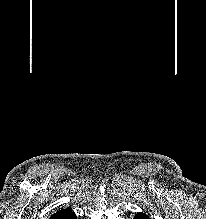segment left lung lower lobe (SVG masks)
Masks as SVG:
<instances>
[{
  "label": "left lung lower lobe",
  "instance_id": "1",
  "mask_svg": "<svg viewBox=\"0 0 206 219\" xmlns=\"http://www.w3.org/2000/svg\"><path fill=\"white\" fill-rule=\"evenodd\" d=\"M135 219H150V218L148 215L142 212V213L137 214Z\"/></svg>",
  "mask_w": 206,
  "mask_h": 219
}]
</instances>
